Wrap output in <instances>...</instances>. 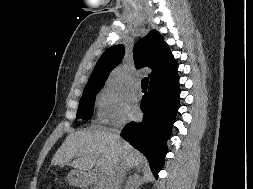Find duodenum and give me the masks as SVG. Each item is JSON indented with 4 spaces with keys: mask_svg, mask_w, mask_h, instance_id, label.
<instances>
[{
    "mask_svg": "<svg viewBox=\"0 0 253 189\" xmlns=\"http://www.w3.org/2000/svg\"><path fill=\"white\" fill-rule=\"evenodd\" d=\"M77 177L79 182L83 183L84 185H89L94 181H99L103 185H105L106 183L105 177L94 170H89L87 172L80 173L78 174Z\"/></svg>",
    "mask_w": 253,
    "mask_h": 189,
    "instance_id": "410a0bca",
    "label": "duodenum"
}]
</instances>
